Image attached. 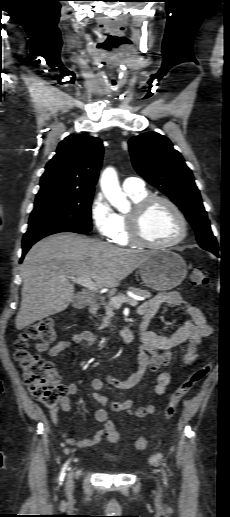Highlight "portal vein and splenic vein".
<instances>
[{"mask_svg": "<svg viewBox=\"0 0 230 517\" xmlns=\"http://www.w3.org/2000/svg\"><path fill=\"white\" fill-rule=\"evenodd\" d=\"M71 281L77 283V284H80L86 288H88L89 290L91 291H94V292H99V286L94 283L90 278H82V277H71L70 278ZM111 302L112 304L115 306V307H120L122 305V303H128L130 305H137L138 302H137V298H127V297H123V298H112L111 299Z\"/></svg>", "mask_w": 230, "mask_h": 517, "instance_id": "portal-vein-and-splenic-vein-1", "label": "portal vein and splenic vein"}]
</instances>
